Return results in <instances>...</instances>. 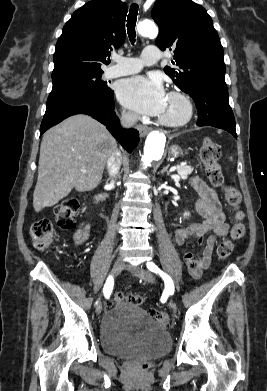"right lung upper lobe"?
Instances as JSON below:
<instances>
[{
    "label": "right lung upper lobe",
    "mask_w": 267,
    "mask_h": 391,
    "mask_svg": "<svg viewBox=\"0 0 267 391\" xmlns=\"http://www.w3.org/2000/svg\"><path fill=\"white\" fill-rule=\"evenodd\" d=\"M126 14L120 0H92L76 10L57 41L52 76L102 71L124 42Z\"/></svg>",
    "instance_id": "right-lung-upper-lobe-1"
}]
</instances>
